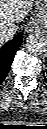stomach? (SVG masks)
<instances>
[{
	"label": "stomach",
	"instance_id": "obj_1",
	"mask_svg": "<svg viewBox=\"0 0 47 129\" xmlns=\"http://www.w3.org/2000/svg\"><path fill=\"white\" fill-rule=\"evenodd\" d=\"M36 14L34 23L47 30V0H35Z\"/></svg>",
	"mask_w": 47,
	"mask_h": 129
}]
</instances>
